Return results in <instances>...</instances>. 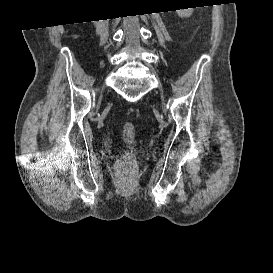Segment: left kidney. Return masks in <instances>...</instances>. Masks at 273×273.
Instances as JSON below:
<instances>
[{
    "instance_id": "left-kidney-1",
    "label": "left kidney",
    "mask_w": 273,
    "mask_h": 273,
    "mask_svg": "<svg viewBox=\"0 0 273 273\" xmlns=\"http://www.w3.org/2000/svg\"><path fill=\"white\" fill-rule=\"evenodd\" d=\"M176 12L180 17H190L193 13V9L192 8L180 9L176 10Z\"/></svg>"
}]
</instances>
